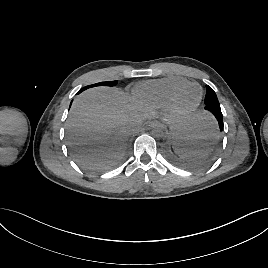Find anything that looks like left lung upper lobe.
Returning a JSON list of instances; mask_svg holds the SVG:
<instances>
[{
	"instance_id": "left-lung-upper-lobe-1",
	"label": "left lung upper lobe",
	"mask_w": 268,
	"mask_h": 268,
	"mask_svg": "<svg viewBox=\"0 0 268 268\" xmlns=\"http://www.w3.org/2000/svg\"><path fill=\"white\" fill-rule=\"evenodd\" d=\"M206 106H220L216 93L210 86H206V96L204 101Z\"/></svg>"
}]
</instances>
